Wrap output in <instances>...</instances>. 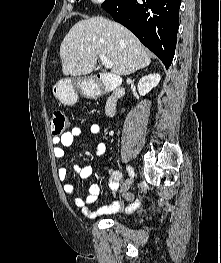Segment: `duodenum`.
Wrapping results in <instances>:
<instances>
[{"label": "duodenum", "mask_w": 221, "mask_h": 263, "mask_svg": "<svg viewBox=\"0 0 221 263\" xmlns=\"http://www.w3.org/2000/svg\"><path fill=\"white\" fill-rule=\"evenodd\" d=\"M104 91L110 93L105 101L104 110L107 116L114 114L119 100L124 96L125 92L120 85L119 78L112 73L97 74L95 79Z\"/></svg>", "instance_id": "obj_1"}]
</instances>
